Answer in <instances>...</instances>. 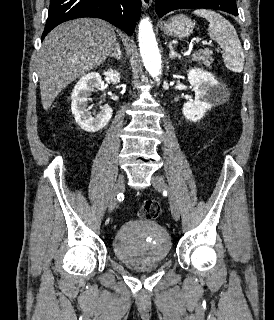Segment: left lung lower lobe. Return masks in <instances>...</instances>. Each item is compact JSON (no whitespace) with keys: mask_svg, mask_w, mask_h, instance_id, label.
<instances>
[{"mask_svg":"<svg viewBox=\"0 0 274 320\" xmlns=\"http://www.w3.org/2000/svg\"><path fill=\"white\" fill-rule=\"evenodd\" d=\"M206 8L238 15L236 0H157L156 13L159 17L177 9Z\"/></svg>","mask_w":274,"mask_h":320,"instance_id":"obj_1","label":"left lung lower lobe"}]
</instances>
